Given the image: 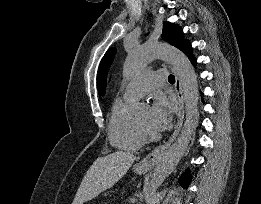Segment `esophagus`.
<instances>
[{
    "label": "esophagus",
    "mask_w": 261,
    "mask_h": 204,
    "mask_svg": "<svg viewBox=\"0 0 261 204\" xmlns=\"http://www.w3.org/2000/svg\"><path fill=\"white\" fill-rule=\"evenodd\" d=\"M172 71L174 70L172 69ZM175 78H176L175 91L177 94L178 107H179L175 130L166 144L156 147L153 151H151L140 161L139 165L141 168L152 169L159 162V160L164 155L166 150L169 148L171 143L176 139L182 127L183 119H184V97H183V91H182V85L180 79L176 74H175Z\"/></svg>",
    "instance_id": "34e87169"
}]
</instances>
